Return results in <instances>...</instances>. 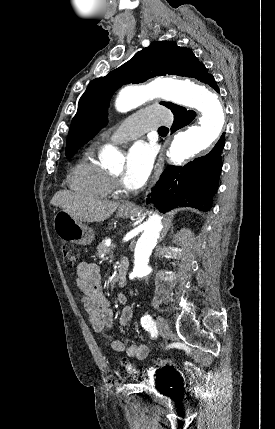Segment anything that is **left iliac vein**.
Returning a JSON list of instances; mask_svg holds the SVG:
<instances>
[{"label":"left iliac vein","instance_id":"left-iliac-vein-1","mask_svg":"<svg viewBox=\"0 0 275 429\" xmlns=\"http://www.w3.org/2000/svg\"><path fill=\"white\" fill-rule=\"evenodd\" d=\"M157 329L159 334L162 335L163 337H166V338L170 337L171 329L167 321L161 316H158L157 318Z\"/></svg>","mask_w":275,"mask_h":429}]
</instances>
